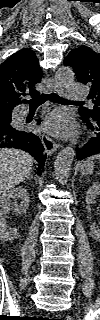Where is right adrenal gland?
I'll return each instance as SVG.
<instances>
[{
	"label": "right adrenal gland",
	"mask_w": 100,
	"mask_h": 320,
	"mask_svg": "<svg viewBox=\"0 0 100 320\" xmlns=\"http://www.w3.org/2000/svg\"><path fill=\"white\" fill-rule=\"evenodd\" d=\"M35 179V177L33 176V173L30 175V177L27 178V180H31V179Z\"/></svg>",
	"instance_id": "1"
}]
</instances>
